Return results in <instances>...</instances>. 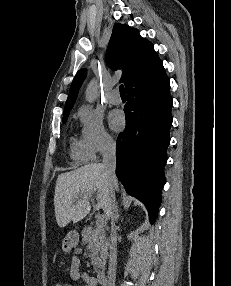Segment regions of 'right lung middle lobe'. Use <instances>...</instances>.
I'll return each mask as SVG.
<instances>
[{
	"label": "right lung middle lobe",
	"instance_id": "obj_1",
	"mask_svg": "<svg viewBox=\"0 0 231 286\" xmlns=\"http://www.w3.org/2000/svg\"><path fill=\"white\" fill-rule=\"evenodd\" d=\"M68 115H69V114L63 115V123H65V122L67 121Z\"/></svg>",
	"mask_w": 231,
	"mask_h": 286
}]
</instances>
